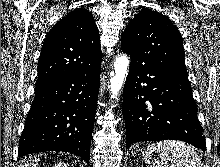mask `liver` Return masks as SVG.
<instances>
[{
	"instance_id": "obj_1",
	"label": "liver",
	"mask_w": 220,
	"mask_h": 167,
	"mask_svg": "<svg viewBox=\"0 0 220 167\" xmlns=\"http://www.w3.org/2000/svg\"><path fill=\"white\" fill-rule=\"evenodd\" d=\"M38 160L36 156H30L29 159L24 160L19 167H36Z\"/></svg>"
}]
</instances>
